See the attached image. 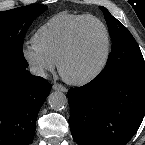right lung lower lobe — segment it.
Listing matches in <instances>:
<instances>
[{
  "label": "right lung lower lobe",
  "instance_id": "98d812e1",
  "mask_svg": "<svg viewBox=\"0 0 145 145\" xmlns=\"http://www.w3.org/2000/svg\"><path fill=\"white\" fill-rule=\"evenodd\" d=\"M50 84L24 69L0 75V145H28Z\"/></svg>",
  "mask_w": 145,
  "mask_h": 145
}]
</instances>
